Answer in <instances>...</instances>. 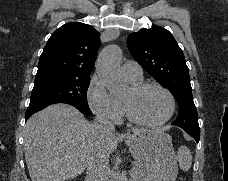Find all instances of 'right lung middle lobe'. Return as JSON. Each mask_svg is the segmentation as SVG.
Masks as SVG:
<instances>
[{
    "instance_id": "1",
    "label": "right lung middle lobe",
    "mask_w": 228,
    "mask_h": 181,
    "mask_svg": "<svg viewBox=\"0 0 228 181\" xmlns=\"http://www.w3.org/2000/svg\"><path fill=\"white\" fill-rule=\"evenodd\" d=\"M89 84L90 78L58 74L36 77L29 107L67 103L90 115L92 112L86 98Z\"/></svg>"
}]
</instances>
